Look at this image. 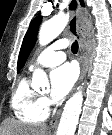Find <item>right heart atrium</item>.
Masks as SVG:
<instances>
[{
  "label": "right heart atrium",
  "instance_id": "1",
  "mask_svg": "<svg viewBox=\"0 0 112 135\" xmlns=\"http://www.w3.org/2000/svg\"><path fill=\"white\" fill-rule=\"evenodd\" d=\"M43 102H44V104H45L46 106L49 105V100H48L47 98H43Z\"/></svg>",
  "mask_w": 112,
  "mask_h": 135
}]
</instances>
